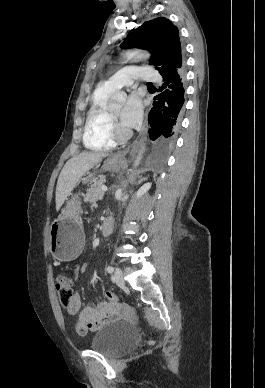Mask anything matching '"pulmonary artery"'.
Here are the masks:
<instances>
[{"instance_id":"obj_1","label":"pulmonary artery","mask_w":265,"mask_h":388,"mask_svg":"<svg viewBox=\"0 0 265 388\" xmlns=\"http://www.w3.org/2000/svg\"><path fill=\"white\" fill-rule=\"evenodd\" d=\"M154 64H128L126 69H121V75H111L110 79H104V86L108 90H113L115 86H131L132 82H138L139 76H146V82H158L160 72L154 71Z\"/></svg>"}]
</instances>
